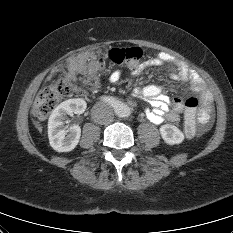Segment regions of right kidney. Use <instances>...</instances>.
Returning a JSON list of instances; mask_svg holds the SVG:
<instances>
[{
  "label": "right kidney",
  "mask_w": 233,
  "mask_h": 233,
  "mask_svg": "<svg viewBox=\"0 0 233 233\" xmlns=\"http://www.w3.org/2000/svg\"><path fill=\"white\" fill-rule=\"evenodd\" d=\"M86 109V102L82 99H69L58 105L51 113L48 122V137L51 147L57 152L72 151L81 136L79 125L64 129L67 115L82 114Z\"/></svg>",
  "instance_id": "ca27d5eb"
}]
</instances>
